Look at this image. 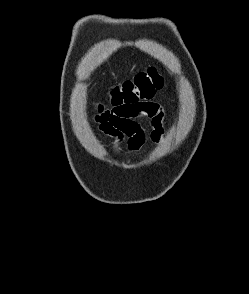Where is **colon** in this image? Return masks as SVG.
<instances>
[{"mask_svg": "<svg viewBox=\"0 0 249 294\" xmlns=\"http://www.w3.org/2000/svg\"><path fill=\"white\" fill-rule=\"evenodd\" d=\"M163 79L155 68L138 73L133 79L126 80L111 91L113 105L136 103L151 99L162 87Z\"/></svg>", "mask_w": 249, "mask_h": 294, "instance_id": "obj_1", "label": "colon"}]
</instances>
